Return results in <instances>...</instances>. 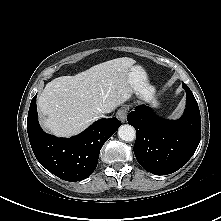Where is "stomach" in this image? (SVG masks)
<instances>
[{"mask_svg":"<svg viewBox=\"0 0 221 221\" xmlns=\"http://www.w3.org/2000/svg\"><path fill=\"white\" fill-rule=\"evenodd\" d=\"M130 80L132 81L133 86L136 88L138 85H142V87L146 89H152V87L149 86L147 83V77H146L144 70L139 66H135L131 69ZM153 94L154 92L149 98L145 100H152L153 105L157 106L158 103L155 100H153Z\"/></svg>","mask_w":221,"mask_h":221,"instance_id":"obj_1","label":"stomach"}]
</instances>
